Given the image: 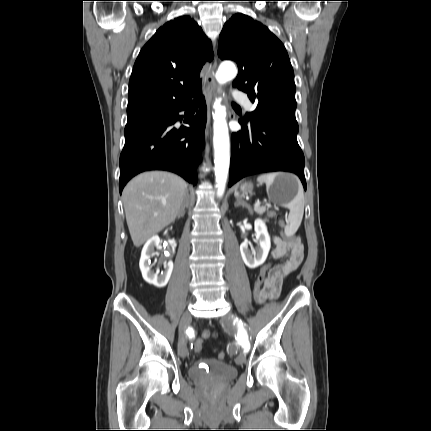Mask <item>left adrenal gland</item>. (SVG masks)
I'll list each match as a JSON object with an SVG mask.
<instances>
[{
  "mask_svg": "<svg viewBox=\"0 0 431 431\" xmlns=\"http://www.w3.org/2000/svg\"><path fill=\"white\" fill-rule=\"evenodd\" d=\"M234 206H235V207H238V206L246 207V208L248 209V211L250 212V214H252V208H251V206H250L249 204H247V203L242 199V196H240V195L236 196V202H235Z\"/></svg>",
  "mask_w": 431,
  "mask_h": 431,
  "instance_id": "a2214340",
  "label": "left adrenal gland"
}]
</instances>
